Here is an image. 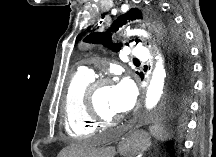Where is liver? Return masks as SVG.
Segmentation results:
<instances>
[{
    "label": "liver",
    "mask_w": 216,
    "mask_h": 157,
    "mask_svg": "<svg viewBox=\"0 0 216 157\" xmlns=\"http://www.w3.org/2000/svg\"><path fill=\"white\" fill-rule=\"evenodd\" d=\"M110 155H113L112 148L96 149L88 142H79L63 149L58 157H105Z\"/></svg>",
    "instance_id": "obj_1"
}]
</instances>
